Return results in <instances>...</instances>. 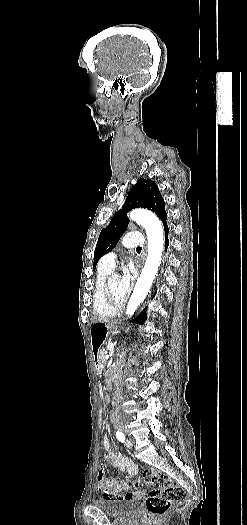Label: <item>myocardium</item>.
Instances as JSON below:
<instances>
[{"instance_id":"1","label":"myocardium","mask_w":247,"mask_h":525,"mask_svg":"<svg viewBox=\"0 0 247 525\" xmlns=\"http://www.w3.org/2000/svg\"><path fill=\"white\" fill-rule=\"evenodd\" d=\"M123 259H124V258H123ZM122 261H123V260H122ZM122 261L119 263V265H118L119 267L122 266ZM99 265H100V263H99ZM111 280H112V278H111V277H108V278L106 279V281L104 282L102 288H101V294H102L103 298L105 299V301H106V299L112 294L111 291H110ZM122 302H123V301H119L120 304H121Z\"/></svg>"}]
</instances>
